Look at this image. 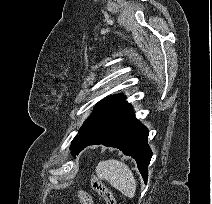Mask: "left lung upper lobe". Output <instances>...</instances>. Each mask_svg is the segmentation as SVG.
<instances>
[{"label": "left lung upper lobe", "instance_id": "obj_1", "mask_svg": "<svg viewBox=\"0 0 212 204\" xmlns=\"http://www.w3.org/2000/svg\"><path fill=\"white\" fill-rule=\"evenodd\" d=\"M125 97L122 94H117L113 96L106 97L103 101H101L93 111V113L90 115V117L85 121L81 129L79 130V134L87 130L90 126L95 124L97 121H99L101 118H103L107 113L112 111L115 107H117L121 102H123ZM78 135H76L77 137ZM74 138L71 148L74 144V141L76 139Z\"/></svg>", "mask_w": 212, "mask_h": 204}]
</instances>
